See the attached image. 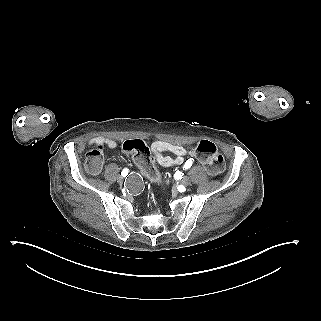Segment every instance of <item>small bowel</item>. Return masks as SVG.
I'll return each instance as SVG.
<instances>
[{
    "mask_svg": "<svg viewBox=\"0 0 321 321\" xmlns=\"http://www.w3.org/2000/svg\"><path fill=\"white\" fill-rule=\"evenodd\" d=\"M91 144H103L109 148H115L117 143L115 140L105 137H97L90 141ZM152 151L156 157V160L162 166H170L173 164H182L184 157L187 154V150L176 144H172L164 141H156L152 144ZM164 152H171L175 155L174 158L164 155Z\"/></svg>",
    "mask_w": 321,
    "mask_h": 321,
    "instance_id": "1",
    "label": "small bowel"
}]
</instances>
